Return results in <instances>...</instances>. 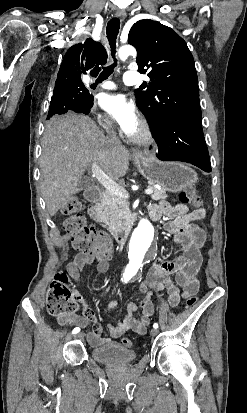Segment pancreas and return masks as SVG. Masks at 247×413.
Listing matches in <instances>:
<instances>
[{"label":"pancreas","mask_w":247,"mask_h":413,"mask_svg":"<svg viewBox=\"0 0 247 413\" xmlns=\"http://www.w3.org/2000/svg\"><path fill=\"white\" fill-rule=\"evenodd\" d=\"M154 192L151 194L154 200H162L166 198L167 194L165 190H158L153 188ZM104 204L106 207L100 217L102 223H105L110 233H116L119 227H128L130 221H128L127 213H129V202L127 198H123L120 194H111V192H104Z\"/></svg>","instance_id":"1"}]
</instances>
